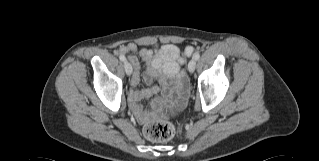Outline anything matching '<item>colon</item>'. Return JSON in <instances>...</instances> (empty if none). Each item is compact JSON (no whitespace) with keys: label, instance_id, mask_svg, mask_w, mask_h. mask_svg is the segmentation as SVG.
I'll return each mask as SVG.
<instances>
[{"label":"colon","instance_id":"1","mask_svg":"<svg viewBox=\"0 0 319 161\" xmlns=\"http://www.w3.org/2000/svg\"><path fill=\"white\" fill-rule=\"evenodd\" d=\"M144 134L151 141H167L177 134V130L167 121H158L147 125Z\"/></svg>","mask_w":319,"mask_h":161}]
</instances>
